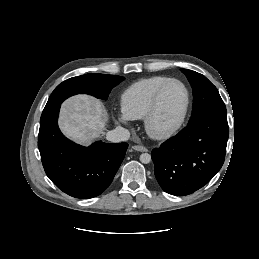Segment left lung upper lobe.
Listing matches in <instances>:
<instances>
[{
    "label": "left lung upper lobe",
    "mask_w": 259,
    "mask_h": 259,
    "mask_svg": "<svg viewBox=\"0 0 259 259\" xmlns=\"http://www.w3.org/2000/svg\"><path fill=\"white\" fill-rule=\"evenodd\" d=\"M193 89V111L190 121L208 114H226L217 88L202 74L182 69Z\"/></svg>",
    "instance_id": "5c2ea615"
}]
</instances>
